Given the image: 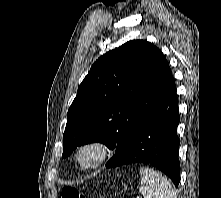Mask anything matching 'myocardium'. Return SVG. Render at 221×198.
Returning <instances> with one entry per match:
<instances>
[{
  "label": "myocardium",
  "mask_w": 221,
  "mask_h": 198,
  "mask_svg": "<svg viewBox=\"0 0 221 198\" xmlns=\"http://www.w3.org/2000/svg\"><path fill=\"white\" fill-rule=\"evenodd\" d=\"M110 144L101 139H92L81 143L75 150L74 159L78 167L82 170H93L100 167L110 156ZM90 155L89 160L84 156Z\"/></svg>",
  "instance_id": "obj_1"
}]
</instances>
